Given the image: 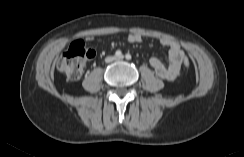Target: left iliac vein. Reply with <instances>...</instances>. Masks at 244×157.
<instances>
[{"label": "left iliac vein", "mask_w": 244, "mask_h": 157, "mask_svg": "<svg viewBox=\"0 0 244 157\" xmlns=\"http://www.w3.org/2000/svg\"><path fill=\"white\" fill-rule=\"evenodd\" d=\"M124 59V56H119L116 58V60H123Z\"/></svg>", "instance_id": "4c4485c4"}]
</instances>
